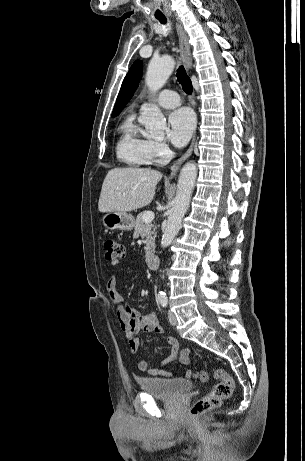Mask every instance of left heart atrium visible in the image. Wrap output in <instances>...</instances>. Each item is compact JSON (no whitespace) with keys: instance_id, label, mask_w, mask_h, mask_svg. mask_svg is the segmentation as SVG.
I'll use <instances>...</instances> for the list:
<instances>
[{"instance_id":"39dd6f15","label":"left heart atrium","mask_w":305,"mask_h":461,"mask_svg":"<svg viewBox=\"0 0 305 461\" xmlns=\"http://www.w3.org/2000/svg\"><path fill=\"white\" fill-rule=\"evenodd\" d=\"M168 136L173 145L184 146L192 136L195 119L192 112L187 108H181L172 112L168 118Z\"/></svg>"}]
</instances>
